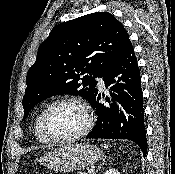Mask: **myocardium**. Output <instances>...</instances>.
<instances>
[{"instance_id": "myocardium-1", "label": "myocardium", "mask_w": 175, "mask_h": 174, "mask_svg": "<svg viewBox=\"0 0 175 174\" xmlns=\"http://www.w3.org/2000/svg\"><path fill=\"white\" fill-rule=\"evenodd\" d=\"M61 104L77 105L82 110V112L84 114V117H85L84 127L79 132H77L76 134H74L72 136L55 137L48 130V126H47L48 116H49L50 112L55 107H57L58 105H61ZM93 122L94 121H93V115H92L91 109H90L89 105L83 99H81L79 97H64V98H61V99H58V100L52 102L51 104H49L45 108V110L43 111L42 116H41L40 125H41V130H42L44 136L50 142L68 143V142L76 141V140L84 137L85 135H87L93 126Z\"/></svg>"}]
</instances>
